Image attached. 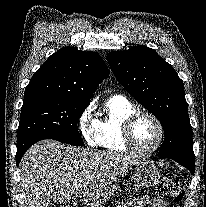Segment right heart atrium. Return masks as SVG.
Masks as SVG:
<instances>
[{"instance_id":"obj_1","label":"right heart atrium","mask_w":206,"mask_h":207,"mask_svg":"<svg viewBox=\"0 0 206 207\" xmlns=\"http://www.w3.org/2000/svg\"><path fill=\"white\" fill-rule=\"evenodd\" d=\"M78 127L84 141L91 147L98 143L97 121L93 115V105L90 104L83 109L78 118Z\"/></svg>"}]
</instances>
